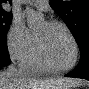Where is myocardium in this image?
<instances>
[{"instance_id": "f54148a6", "label": "myocardium", "mask_w": 89, "mask_h": 89, "mask_svg": "<svg viewBox=\"0 0 89 89\" xmlns=\"http://www.w3.org/2000/svg\"><path fill=\"white\" fill-rule=\"evenodd\" d=\"M49 23L53 24V25H57L61 28H63L65 30V32L67 33V35L69 36L70 40L72 41V44H73V47H74V58H73V61L70 65L66 66V67H63V68H55L53 67L43 49H42V46H41V43L39 41V38L37 35H35V41H36V50H37V53H38V56L40 58V60L42 61V63L44 64V66L51 72V73H55V74H59V73H64L66 71H69L71 69H73L77 62H78V59H79V46H78V43H77V40L76 38L74 37L72 31L70 30V28L63 22L61 21H58V20H51Z\"/></svg>"}]
</instances>
